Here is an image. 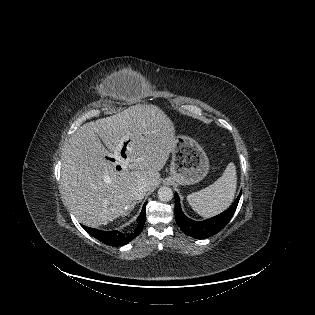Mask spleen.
Here are the masks:
<instances>
[{"label":"spleen","instance_id":"obj_1","mask_svg":"<svg viewBox=\"0 0 315 315\" xmlns=\"http://www.w3.org/2000/svg\"><path fill=\"white\" fill-rule=\"evenodd\" d=\"M236 187V166L231 162L220 178L208 187L189 194L187 201L196 213L209 218L223 212L231 205Z\"/></svg>","mask_w":315,"mask_h":315}]
</instances>
